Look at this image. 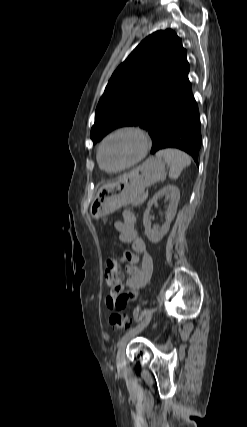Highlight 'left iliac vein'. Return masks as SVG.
I'll return each mask as SVG.
<instances>
[{"mask_svg":"<svg viewBox=\"0 0 247 427\" xmlns=\"http://www.w3.org/2000/svg\"><path fill=\"white\" fill-rule=\"evenodd\" d=\"M147 324H148V322L141 329L134 331L130 336L124 338L120 342L119 350L117 353V367H118V369H122L125 366V349H126V345H127L128 341L130 340V338H132L133 336L138 334Z\"/></svg>","mask_w":247,"mask_h":427,"instance_id":"1","label":"left iliac vein"}]
</instances>
